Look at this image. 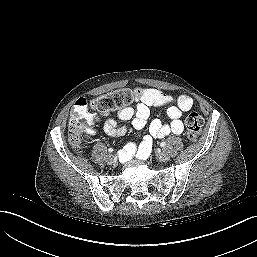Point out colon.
Wrapping results in <instances>:
<instances>
[{
    "label": "colon",
    "instance_id": "5ec220e1",
    "mask_svg": "<svg viewBox=\"0 0 257 257\" xmlns=\"http://www.w3.org/2000/svg\"><path fill=\"white\" fill-rule=\"evenodd\" d=\"M141 90L121 89L93 99L91 107L99 112H112L128 105L141 98ZM88 101L84 98L78 99L73 106V113L69 120V140L76 148H80L83 134L89 124L87 117ZM203 118L197 112H191L185 120L186 137L195 141L201 133Z\"/></svg>",
    "mask_w": 257,
    "mask_h": 257
}]
</instances>
